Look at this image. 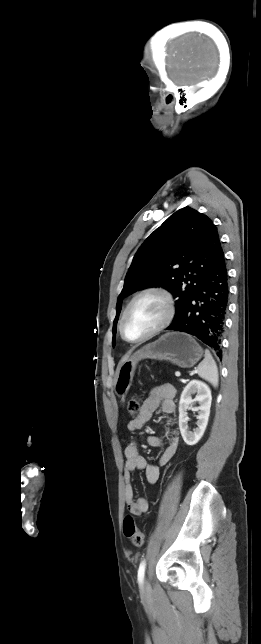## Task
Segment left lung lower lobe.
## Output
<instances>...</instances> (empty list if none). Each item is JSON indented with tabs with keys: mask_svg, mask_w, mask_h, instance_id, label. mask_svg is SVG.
Segmentation results:
<instances>
[{
	"mask_svg": "<svg viewBox=\"0 0 261 644\" xmlns=\"http://www.w3.org/2000/svg\"><path fill=\"white\" fill-rule=\"evenodd\" d=\"M228 271L224 254L215 262L182 314L167 330L186 332L213 348L222 358L221 337L228 308Z\"/></svg>",
	"mask_w": 261,
	"mask_h": 644,
	"instance_id": "1",
	"label": "left lung lower lobe"
}]
</instances>
